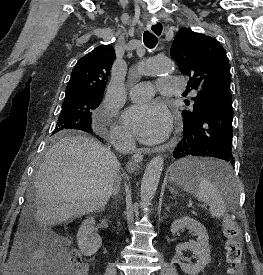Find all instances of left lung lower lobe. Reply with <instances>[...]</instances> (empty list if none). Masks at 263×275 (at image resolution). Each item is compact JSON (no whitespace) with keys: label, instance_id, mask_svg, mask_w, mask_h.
Here are the masks:
<instances>
[{"label":"left lung lower lobe","instance_id":"left-lung-lower-lobe-1","mask_svg":"<svg viewBox=\"0 0 263 275\" xmlns=\"http://www.w3.org/2000/svg\"><path fill=\"white\" fill-rule=\"evenodd\" d=\"M233 107L231 99H221L206 109L191 124L183 123V137L173 156L182 159L191 156L216 157L234 166L232 154Z\"/></svg>","mask_w":263,"mask_h":275}]
</instances>
